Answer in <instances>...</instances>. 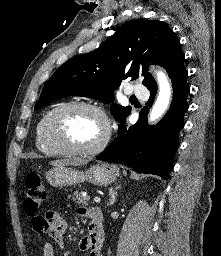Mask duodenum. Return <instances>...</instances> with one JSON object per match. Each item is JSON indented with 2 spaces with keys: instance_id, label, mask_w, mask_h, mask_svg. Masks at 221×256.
Listing matches in <instances>:
<instances>
[{
  "instance_id": "duodenum-1",
  "label": "duodenum",
  "mask_w": 221,
  "mask_h": 256,
  "mask_svg": "<svg viewBox=\"0 0 221 256\" xmlns=\"http://www.w3.org/2000/svg\"><path fill=\"white\" fill-rule=\"evenodd\" d=\"M94 220L96 222L97 235L101 237L103 235V215L100 210L95 212Z\"/></svg>"
}]
</instances>
